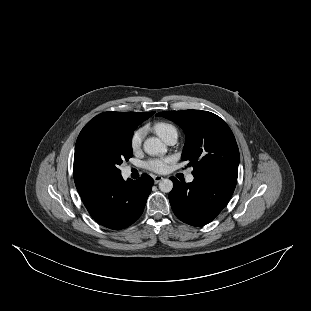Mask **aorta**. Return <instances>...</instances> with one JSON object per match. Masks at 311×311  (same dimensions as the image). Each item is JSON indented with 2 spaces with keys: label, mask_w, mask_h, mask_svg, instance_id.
<instances>
[{
  "label": "aorta",
  "mask_w": 311,
  "mask_h": 311,
  "mask_svg": "<svg viewBox=\"0 0 311 311\" xmlns=\"http://www.w3.org/2000/svg\"><path fill=\"white\" fill-rule=\"evenodd\" d=\"M143 149L150 155H164L166 154L167 148L158 138L150 137L147 138L143 143ZM159 189L162 192L169 193L173 189V182L169 179H163L159 183Z\"/></svg>",
  "instance_id": "obj_1"
}]
</instances>
